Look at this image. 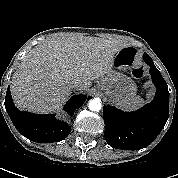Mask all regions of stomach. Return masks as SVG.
Returning a JSON list of instances; mask_svg holds the SVG:
<instances>
[{
  "label": "stomach",
  "instance_id": "obj_1",
  "mask_svg": "<svg viewBox=\"0 0 178 178\" xmlns=\"http://www.w3.org/2000/svg\"><path fill=\"white\" fill-rule=\"evenodd\" d=\"M133 58L128 48L120 49L114 56L111 69L97 81L98 89L109 101L121 103L135 95L137 87L134 81L123 73L130 68Z\"/></svg>",
  "mask_w": 178,
  "mask_h": 178
}]
</instances>
